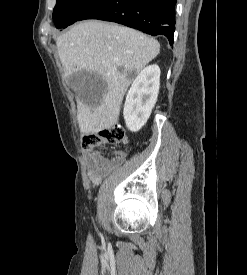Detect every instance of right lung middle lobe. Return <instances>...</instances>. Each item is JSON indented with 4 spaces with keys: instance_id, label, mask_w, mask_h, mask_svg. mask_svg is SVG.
<instances>
[{
    "instance_id": "dd1d6c3e",
    "label": "right lung middle lobe",
    "mask_w": 247,
    "mask_h": 275,
    "mask_svg": "<svg viewBox=\"0 0 247 275\" xmlns=\"http://www.w3.org/2000/svg\"><path fill=\"white\" fill-rule=\"evenodd\" d=\"M98 0H57L53 10L56 28H66L78 21L81 14Z\"/></svg>"
}]
</instances>
